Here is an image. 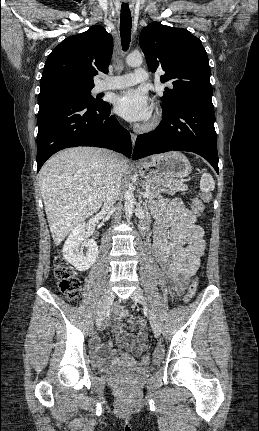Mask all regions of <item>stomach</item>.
Masks as SVG:
<instances>
[{
	"label": "stomach",
	"instance_id": "1",
	"mask_svg": "<svg viewBox=\"0 0 259 431\" xmlns=\"http://www.w3.org/2000/svg\"><path fill=\"white\" fill-rule=\"evenodd\" d=\"M191 170L188 158L183 153L175 151L158 155L139 166L140 174L145 180L154 178L176 180L188 176Z\"/></svg>",
	"mask_w": 259,
	"mask_h": 431
}]
</instances>
